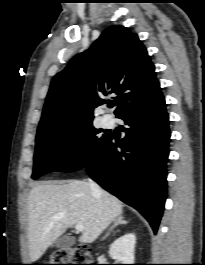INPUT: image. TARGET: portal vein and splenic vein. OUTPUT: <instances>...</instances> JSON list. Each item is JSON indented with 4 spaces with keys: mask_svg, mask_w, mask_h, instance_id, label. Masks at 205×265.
Here are the masks:
<instances>
[{
    "mask_svg": "<svg viewBox=\"0 0 205 265\" xmlns=\"http://www.w3.org/2000/svg\"><path fill=\"white\" fill-rule=\"evenodd\" d=\"M75 229H76L78 232H81V231L84 230V227H83V225H81V224H77V225H75Z\"/></svg>",
    "mask_w": 205,
    "mask_h": 265,
    "instance_id": "18ae733b",
    "label": "portal vein and splenic vein"
}]
</instances>
